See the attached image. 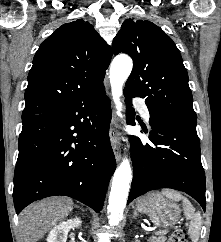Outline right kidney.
I'll use <instances>...</instances> for the list:
<instances>
[{"label":"right kidney","instance_id":"right-kidney-1","mask_svg":"<svg viewBox=\"0 0 221 242\" xmlns=\"http://www.w3.org/2000/svg\"><path fill=\"white\" fill-rule=\"evenodd\" d=\"M81 224L82 221L78 217L60 222L48 234L47 242H66L68 232L71 229L79 228Z\"/></svg>","mask_w":221,"mask_h":242}]
</instances>
